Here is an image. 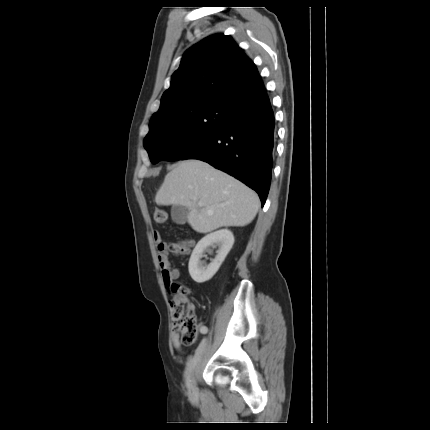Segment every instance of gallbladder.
<instances>
[{
	"instance_id": "bac80fb5",
	"label": "gallbladder",
	"mask_w": 430,
	"mask_h": 430,
	"mask_svg": "<svg viewBox=\"0 0 430 430\" xmlns=\"http://www.w3.org/2000/svg\"><path fill=\"white\" fill-rule=\"evenodd\" d=\"M171 217L176 224H185L188 218V209L185 206L174 205L171 209Z\"/></svg>"
}]
</instances>
